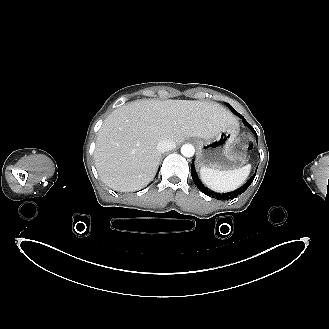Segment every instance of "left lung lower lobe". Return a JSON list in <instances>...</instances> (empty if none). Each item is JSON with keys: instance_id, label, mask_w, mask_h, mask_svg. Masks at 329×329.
Masks as SVG:
<instances>
[{"instance_id": "obj_1", "label": "left lung lower lobe", "mask_w": 329, "mask_h": 329, "mask_svg": "<svg viewBox=\"0 0 329 329\" xmlns=\"http://www.w3.org/2000/svg\"><path fill=\"white\" fill-rule=\"evenodd\" d=\"M241 118H242L243 122L256 134L253 127L244 119V117L242 116ZM256 136H257V134H256ZM191 174H192V178H193L195 185L202 193L206 194L207 196H211L213 198L219 199V200L227 201L229 199L237 197L238 195H241L253 182L256 172H255V175L245 185H243L242 187H240L239 189H237L233 192L224 193V194L215 193V192L209 190L207 187H205L198 179L193 164L191 165Z\"/></svg>"}]
</instances>
